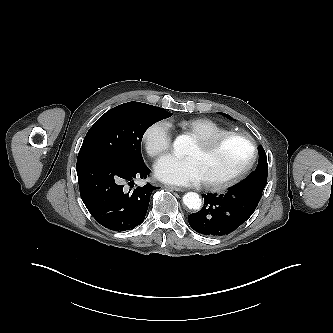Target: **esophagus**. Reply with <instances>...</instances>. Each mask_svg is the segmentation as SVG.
<instances>
[{"label": "esophagus", "mask_w": 333, "mask_h": 333, "mask_svg": "<svg viewBox=\"0 0 333 333\" xmlns=\"http://www.w3.org/2000/svg\"><path fill=\"white\" fill-rule=\"evenodd\" d=\"M165 187H166L167 189H171V190L178 191V192H183V191H185V189H183V188H181V187H177V186L165 185Z\"/></svg>", "instance_id": "34e87169"}]
</instances>
